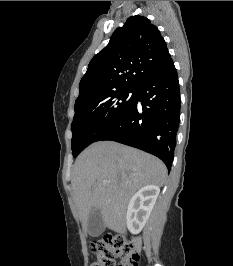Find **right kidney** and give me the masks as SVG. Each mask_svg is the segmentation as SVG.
<instances>
[{
  "mask_svg": "<svg viewBox=\"0 0 233 266\" xmlns=\"http://www.w3.org/2000/svg\"><path fill=\"white\" fill-rule=\"evenodd\" d=\"M159 193L160 188L158 186L146 185L130 199L126 214V224L132 234H138L144 227Z\"/></svg>",
  "mask_w": 233,
  "mask_h": 266,
  "instance_id": "ca27d5eb",
  "label": "right kidney"
}]
</instances>
